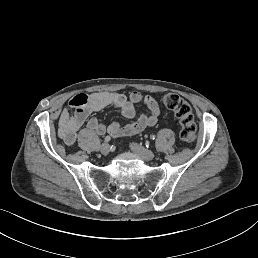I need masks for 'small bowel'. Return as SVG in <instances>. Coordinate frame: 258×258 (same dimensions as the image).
<instances>
[{"mask_svg":"<svg viewBox=\"0 0 258 258\" xmlns=\"http://www.w3.org/2000/svg\"><path fill=\"white\" fill-rule=\"evenodd\" d=\"M144 103L148 113L136 115L135 105ZM69 108L59 116V136L68 146L75 144L80 129L85 125V131L96 135L109 134L113 137L130 136L154 126L160 117V107L155 98L144 96L137 91L129 96L117 92L99 91L89 95L77 94L70 98ZM108 106L120 110L123 117L129 119L125 124L113 122L103 124L91 113Z\"/></svg>","mask_w":258,"mask_h":258,"instance_id":"obj_1","label":"small bowel"}]
</instances>
